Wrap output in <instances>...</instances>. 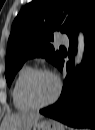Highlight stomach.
<instances>
[{
    "label": "stomach",
    "mask_w": 95,
    "mask_h": 130,
    "mask_svg": "<svg viewBox=\"0 0 95 130\" xmlns=\"http://www.w3.org/2000/svg\"><path fill=\"white\" fill-rule=\"evenodd\" d=\"M32 130H64L63 126L55 120H41L33 125Z\"/></svg>",
    "instance_id": "obj_1"
}]
</instances>
